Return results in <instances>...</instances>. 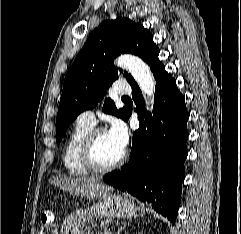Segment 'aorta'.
Masks as SVG:
<instances>
[{
	"label": "aorta",
	"instance_id": "aorta-1",
	"mask_svg": "<svg viewBox=\"0 0 241 234\" xmlns=\"http://www.w3.org/2000/svg\"><path fill=\"white\" fill-rule=\"evenodd\" d=\"M116 64L130 72L142 93L146 96L147 104L153 105L155 81L149 66L139 57L132 55H121L118 57Z\"/></svg>",
	"mask_w": 241,
	"mask_h": 234
}]
</instances>
